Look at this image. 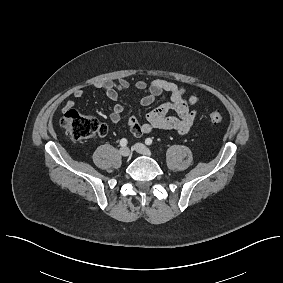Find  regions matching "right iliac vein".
<instances>
[{
    "mask_svg": "<svg viewBox=\"0 0 283 283\" xmlns=\"http://www.w3.org/2000/svg\"><path fill=\"white\" fill-rule=\"evenodd\" d=\"M120 154L123 157H128L130 155V149L128 147H123L120 149Z\"/></svg>",
    "mask_w": 283,
    "mask_h": 283,
    "instance_id": "1",
    "label": "right iliac vein"
}]
</instances>
